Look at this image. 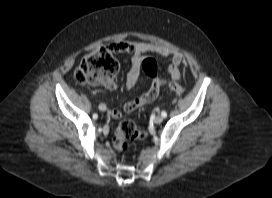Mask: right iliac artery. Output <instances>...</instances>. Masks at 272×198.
I'll return each instance as SVG.
<instances>
[{"label": "right iliac artery", "mask_w": 272, "mask_h": 198, "mask_svg": "<svg viewBox=\"0 0 272 198\" xmlns=\"http://www.w3.org/2000/svg\"><path fill=\"white\" fill-rule=\"evenodd\" d=\"M101 105H103V104H101ZM101 105H100V106H101ZM97 117H98L97 114H94V115H93V118H94V119H97Z\"/></svg>", "instance_id": "1"}]
</instances>
